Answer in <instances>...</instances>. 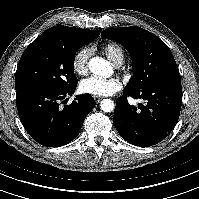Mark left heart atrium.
Instances as JSON below:
<instances>
[{
	"label": "left heart atrium",
	"mask_w": 199,
	"mask_h": 199,
	"mask_svg": "<svg viewBox=\"0 0 199 199\" xmlns=\"http://www.w3.org/2000/svg\"><path fill=\"white\" fill-rule=\"evenodd\" d=\"M122 88L116 78L87 77L80 81L79 90L92 96H109Z\"/></svg>",
	"instance_id": "obj_1"
}]
</instances>
